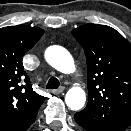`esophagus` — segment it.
<instances>
[{"mask_svg":"<svg viewBox=\"0 0 131 131\" xmlns=\"http://www.w3.org/2000/svg\"><path fill=\"white\" fill-rule=\"evenodd\" d=\"M63 91H64V87H60V88H58V89L52 90L51 92H52L54 95H59V94H61Z\"/></svg>","mask_w":131,"mask_h":131,"instance_id":"esophagus-1","label":"esophagus"}]
</instances>
